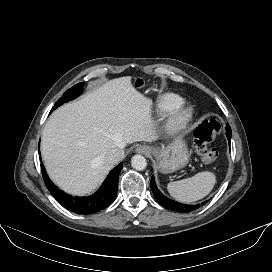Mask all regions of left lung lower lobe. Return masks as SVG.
I'll use <instances>...</instances> for the list:
<instances>
[{"label":"left lung lower lobe","mask_w":272,"mask_h":272,"mask_svg":"<svg viewBox=\"0 0 272 272\" xmlns=\"http://www.w3.org/2000/svg\"><path fill=\"white\" fill-rule=\"evenodd\" d=\"M226 135L228 138V141L230 143L231 141V128L230 126H228V128H226ZM151 189L152 192L156 198V200L165 208L173 210V211H177V212H191L194 211L196 209H198L200 207L199 204L197 205H187V204H180L176 201H173L169 198H167L166 196H164L157 188L156 183L154 181V177L152 176L151 182ZM208 201H205L204 203H206ZM203 203V204H204Z\"/></svg>","instance_id":"0a47b994"}]
</instances>
